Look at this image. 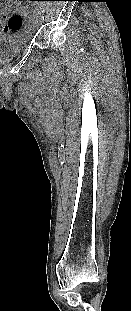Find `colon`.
Instances as JSON below:
<instances>
[{
    "label": "colon",
    "instance_id": "colon-1",
    "mask_svg": "<svg viewBox=\"0 0 131 311\" xmlns=\"http://www.w3.org/2000/svg\"><path fill=\"white\" fill-rule=\"evenodd\" d=\"M23 25V20L21 18V16L16 15L13 18H11V20L8 23V27L11 30H20L22 28Z\"/></svg>",
    "mask_w": 131,
    "mask_h": 311
}]
</instances>
